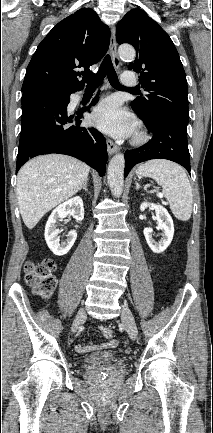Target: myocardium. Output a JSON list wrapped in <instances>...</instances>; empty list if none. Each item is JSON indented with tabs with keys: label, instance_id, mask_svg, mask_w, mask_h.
I'll return each mask as SVG.
<instances>
[{
	"label": "myocardium",
	"instance_id": "f54148a6",
	"mask_svg": "<svg viewBox=\"0 0 213 433\" xmlns=\"http://www.w3.org/2000/svg\"><path fill=\"white\" fill-rule=\"evenodd\" d=\"M147 140H148L147 133L139 130L135 133L132 142L136 145H140V144L145 143Z\"/></svg>",
	"mask_w": 213,
	"mask_h": 433
}]
</instances>
